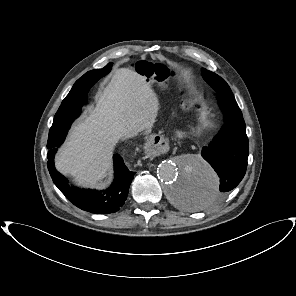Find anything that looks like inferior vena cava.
<instances>
[{"label":"inferior vena cava","mask_w":296,"mask_h":296,"mask_svg":"<svg viewBox=\"0 0 296 296\" xmlns=\"http://www.w3.org/2000/svg\"><path fill=\"white\" fill-rule=\"evenodd\" d=\"M135 134H136V132L133 130H124L120 133V137L121 138H131V137H134Z\"/></svg>","instance_id":"602c4592"}]
</instances>
